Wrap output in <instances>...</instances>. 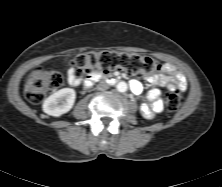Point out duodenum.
Segmentation results:
<instances>
[{
	"label": "duodenum",
	"instance_id": "1",
	"mask_svg": "<svg viewBox=\"0 0 222 187\" xmlns=\"http://www.w3.org/2000/svg\"><path fill=\"white\" fill-rule=\"evenodd\" d=\"M103 80L106 81L108 83H115L116 81L119 80V78L115 75H94L93 77L89 78V80L86 82L87 85H91L92 83H94L96 80Z\"/></svg>",
	"mask_w": 222,
	"mask_h": 187
}]
</instances>
